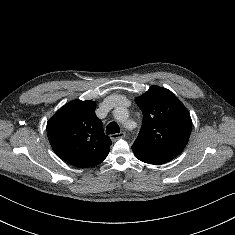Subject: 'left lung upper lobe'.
I'll return each instance as SVG.
<instances>
[{
	"label": "left lung upper lobe",
	"mask_w": 235,
	"mask_h": 235,
	"mask_svg": "<svg viewBox=\"0 0 235 235\" xmlns=\"http://www.w3.org/2000/svg\"><path fill=\"white\" fill-rule=\"evenodd\" d=\"M143 113L133 152L173 159L188 143L192 120L188 110L168 89L152 86L136 98Z\"/></svg>",
	"instance_id": "left-lung-upper-lobe-1"
}]
</instances>
